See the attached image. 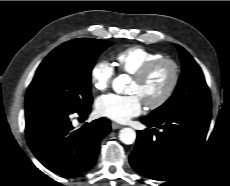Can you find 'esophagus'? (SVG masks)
Listing matches in <instances>:
<instances>
[{
    "instance_id": "obj_1",
    "label": "esophagus",
    "mask_w": 230,
    "mask_h": 186,
    "mask_svg": "<svg viewBox=\"0 0 230 186\" xmlns=\"http://www.w3.org/2000/svg\"><path fill=\"white\" fill-rule=\"evenodd\" d=\"M111 127H112L113 130H116V129L122 128V125L113 122V123L111 124Z\"/></svg>"
}]
</instances>
